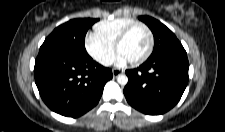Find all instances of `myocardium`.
I'll list each match as a JSON object with an SVG mask.
<instances>
[{"label":"myocardium","mask_w":225,"mask_h":132,"mask_svg":"<svg viewBox=\"0 0 225 132\" xmlns=\"http://www.w3.org/2000/svg\"><path fill=\"white\" fill-rule=\"evenodd\" d=\"M138 27L143 28L147 32L148 37H149V45H148L146 52L141 57H139L135 60L129 61V63L131 65H139V64L145 62L152 54V51L154 48V35H153L152 30L146 24L141 23V22H136V23L128 26L125 30H123V32L118 36V38L115 42V50L117 53H119V49H120V46L122 45V43L126 40V38L129 36V34Z\"/></svg>","instance_id":"f54148a6"}]
</instances>
